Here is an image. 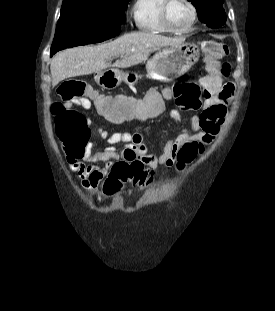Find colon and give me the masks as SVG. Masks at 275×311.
Wrapping results in <instances>:
<instances>
[{"mask_svg":"<svg viewBox=\"0 0 275 311\" xmlns=\"http://www.w3.org/2000/svg\"><path fill=\"white\" fill-rule=\"evenodd\" d=\"M203 49L207 55L208 67L211 71L217 69L227 77L230 65L226 62L218 66V60L227 53V46L217 41H205ZM201 87L196 82H182L173 85L164 92V96L176 103L187 102L189 105L201 103ZM58 94L66 103L90 104L94 98L93 89L79 79H67L58 89ZM162 92H147L146 97H98L97 107L101 117L111 121L112 125H125L126 121H156L164 113ZM56 134L70 157H79L85 148L89 137L87 119L81 112L68 108L61 103H55L53 108ZM203 152V147L197 142L183 145L178 154V168L181 170L191 163L197 155ZM154 175L140 161L130 163L117 162L104 184L108 195L120 192L125 184L130 183L139 188L152 184Z\"/></svg>","mask_w":275,"mask_h":311,"instance_id":"1","label":"colon"}]
</instances>
